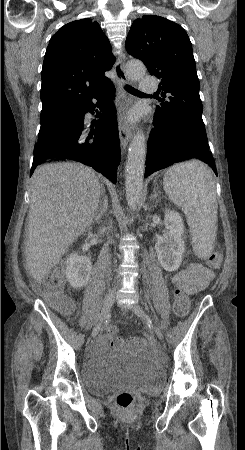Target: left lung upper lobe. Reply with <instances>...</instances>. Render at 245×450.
<instances>
[{
    "instance_id": "left-lung-upper-lobe-1",
    "label": "left lung upper lobe",
    "mask_w": 245,
    "mask_h": 450,
    "mask_svg": "<svg viewBox=\"0 0 245 450\" xmlns=\"http://www.w3.org/2000/svg\"><path fill=\"white\" fill-rule=\"evenodd\" d=\"M126 50L161 79V104L155 114L172 126L186 128L207 139L202 120L199 79L192 45L185 30L160 16L136 19L126 39ZM166 93L169 96H166Z\"/></svg>"
}]
</instances>
